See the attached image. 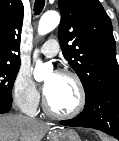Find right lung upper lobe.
Wrapping results in <instances>:
<instances>
[{"label": "right lung upper lobe", "mask_w": 119, "mask_h": 141, "mask_svg": "<svg viewBox=\"0 0 119 141\" xmlns=\"http://www.w3.org/2000/svg\"><path fill=\"white\" fill-rule=\"evenodd\" d=\"M23 14L21 0H0V63L20 64Z\"/></svg>", "instance_id": "obj_1"}]
</instances>
